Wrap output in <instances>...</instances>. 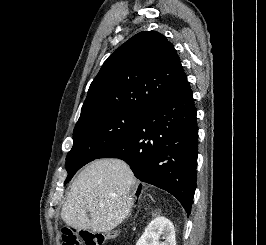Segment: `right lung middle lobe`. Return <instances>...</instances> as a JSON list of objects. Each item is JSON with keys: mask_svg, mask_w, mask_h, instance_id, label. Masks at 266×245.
Masks as SVG:
<instances>
[{"mask_svg": "<svg viewBox=\"0 0 266 245\" xmlns=\"http://www.w3.org/2000/svg\"><path fill=\"white\" fill-rule=\"evenodd\" d=\"M145 111L103 109L79 118L73 131V147L66 157L68 176L64 184L85 164L124 140Z\"/></svg>", "mask_w": 266, "mask_h": 245, "instance_id": "1", "label": "right lung middle lobe"}]
</instances>
